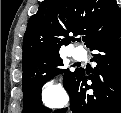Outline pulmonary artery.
I'll list each match as a JSON object with an SVG mask.
<instances>
[{
    "label": "pulmonary artery",
    "instance_id": "pulmonary-artery-1",
    "mask_svg": "<svg viewBox=\"0 0 121 113\" xmlns=\"http://www.w3.org/2000/svg\"><path fill=\"white\" fill-rule=\"evenodd\" d=\"M84 56H85V55H84L83 53H81V52H79V51H77V50H75V51L73 52V57H74L75 59H77V60L83 59Z\"/></svg>",
    "mask_w": 121,
    "mask_h": 113
}]
</instances>
